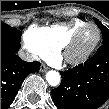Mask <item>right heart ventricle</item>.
Masks as SVG:
<instances>
[{
	"mask_svg": "<svg viewBox=\"0 0 109 109\" xmlns=\"http://www.w3.org/2000/svg\"><path fill=\"white\" fill-rule=\"evenodd\" d=\"M86 23V21L74 19L66 23L54 24L47 27L33 26L26 31L24 37L36 40L48 46L53 54L51 57H47V59H51L54 54L61 50L72 33Z\"/></svg>",
	"mask_w": 109,
	"mask_h": 109,
	"instance_id": "1",
	"label": "right heart ventricle"
}]
</instances>
